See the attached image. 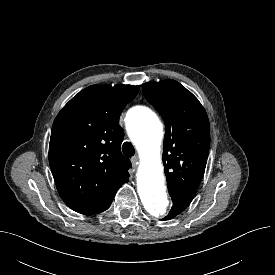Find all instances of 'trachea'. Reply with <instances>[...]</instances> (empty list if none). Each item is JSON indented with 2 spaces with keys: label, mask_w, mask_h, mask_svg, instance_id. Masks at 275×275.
Wrapping results in <instances>:
<instances>
[{
  "label": "trachea",
  "mask_w": 275,
  "mask_h": 275,
  "mask_svg": "<svg viewBox=\"0 0 275 275\" xmlns=\"http://www.w3.org/2000/svg\"><path fill=\"white\" fill-rule=\"evenodd\" d=\"M122 150L124 155L127 156L128 158H131L135 153V149L130 142H125L122 146Z\"/></svg>",
  "instance_id": "trachea-1"
}]
</instances>
